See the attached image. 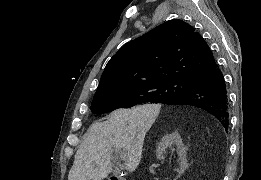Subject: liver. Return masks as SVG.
Segmentation results:
<instances>
[{
    "label": "liver",
    "instance_id": "obj_1",
    "mask_svg": "<svg viewBox=\"0 0 261 180\" xmlns=\"http://www.w3.org/2000/svg\"><path fill=\"white\" fill-rule=\"evenodd\" d=\"M159 112L157 104H145L132 110H115L105 122L91 124L74 158L68 180H104L126 150L125 168L134 172L142 156L144 138Z\"/></svg>",
    "mask_w": 261,
    "mask_h": 180
}]
</instances>
